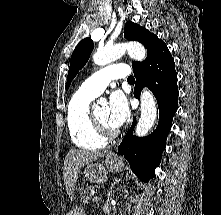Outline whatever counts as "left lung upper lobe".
Returning a JSON list of instances; mask_svg holds the SVG:
<instances>
[{"label":"left lung upper lobe","instance_id":"left-lung-upper-lobe-1","mask_svg":"<svg viewBox=\"0 0 221 215\" xmlns=\"http://www.w3.org/2000/svg\"><path fill=\"white\" fill-rule=\"evenodd\" d=\"M124 37L127 40H134L141 42L147 48V57L143 62H133V70L143 67L152 58L158 48L164 44L156 35L150 33L144 27L139 26L136 23L128 21L124 29ZM94 44L90 38H85L78 43L74 49L70 67L67 76V89L69 88L71 81L76 76L78 71L86 64L91 52L93 51Z\"/></svg>","mask_w":221,"mask_h":215}]
</instances>
